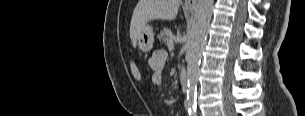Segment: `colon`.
<instances>
[{
    "mask_svg": "<svg viewBox=\"0 0 305 116\" xmlns=\"http://www.w3.org/2000/svg\"><path fill=\"white\" fill-rule=\"evenodd\" d=\"M130 72L135 80L142 81V74L137 65L132 63L130 65Z\"/></svg>",
    "mask_w": 305,
    "mask_h": 116,
    "instance_id": "colon-1",
    "label": "colon"
}]
</instances>
